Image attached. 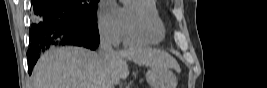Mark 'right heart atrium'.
<instances>
[{
	"mask_svg": "<svg viewBox=\"0 0 267 88\" xmlns=\"http://www.w3.org/2000/svg\"><path fill=\"white\" fill-rule=\"evenodd\" d=\"M98 28L101 36L113 44H119L124 36L122 9L114 2H105L98 14Z\"/></svg>",
	"mask_w": 267,
	"mask_h": 88,
	"instance_id": "obj_1",
	"label": "right heart atrium"
}]
</instances>
